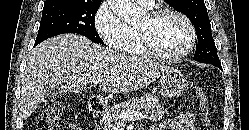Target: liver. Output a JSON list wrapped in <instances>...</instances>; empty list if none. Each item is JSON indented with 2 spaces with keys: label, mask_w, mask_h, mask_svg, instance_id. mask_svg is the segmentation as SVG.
<instances>
[{
  "label": "liver",
  "mask_w": 249,
  "mask_h": 130,
  "mask_svg": "<svg viewBox=\"0 0 249 130\" xmlns=\"http://www.w3.org/2000/svg\"><path fill=\"white\" fill-rule=\"evenodd\" d=\"M173 68L133 58L92 43L84 36L63 34L36 46L22 78L20 111L26 119L45 101L46 86L83 91L88 80H101L103 92L142 89Z\"/></svg>",
  "instance_id": "6515ba94"
}]
</instances>
